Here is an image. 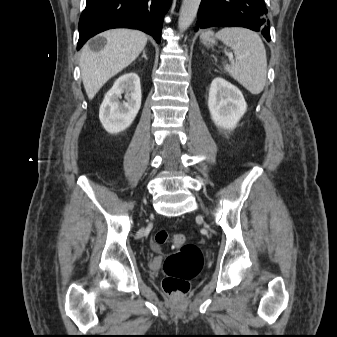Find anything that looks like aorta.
<instances>
[{
    "label": "aorta",
    "mask_w": 337,
    "mask_h": 337,
    "mask_svg": "<svg viewBox=\"0 0 337 337\" xmlns=\"http://www.w3.org/2000/svg\"><path fill=\"white\" fill-rule=\"evenodd\" d=\"M200 2L201 0H183L178 21L180 32L185 31L192 24L197 15Z\"/></svg>",
    "instance_id": "aorta-1"
}]
</instances>
